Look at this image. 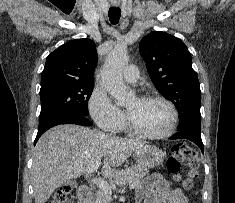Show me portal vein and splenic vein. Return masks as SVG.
I'll use <instances>...</instances> for the list:
<instances>
[{"mask_svg":"<svg viewBox=\"0 0 235 203\" xmlns=\"http://www.w3.org/2000/svg\"><path fill=\"white\" fill-rule=\"evenodd\" d=\"M100 162H96L94 165H92L88 171L87 174L91 175L95 170H97L100 166ZM92 182L101 190L103 191L105 194L111 196L112 195V189L111 186L103 179L101 178H92ZM129 188L132 190L135 188V184L134 183H130Z\"/></svg>","mask_w":235,"mask_h":203,"instance_id":"obj_1","label":"portal vein and splenic vein"}]
</instances>
